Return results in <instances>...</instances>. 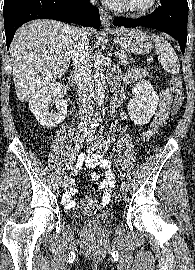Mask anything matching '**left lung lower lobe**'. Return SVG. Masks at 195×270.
Segmentation results:
<instances>
[{
  "mask_svg": "<svg viewBox=\"0 0 195 270\" xmlns=\"http://www.w3.org/2000/svg\"><path fill=\"white\" fill-rule=\"evenodd\" d=\"M159 6L152 14L139 19L115 18V26L124 27H149L165 32L174 37L184 54L187 42V0H160Z\"/></svg>",
  "mask_w": 195,
  "mask_h": 270,
  "instance_id": "left-lung-lower-lobe-1",
  "label": "left lung lower lobe"
}]
</instances>
